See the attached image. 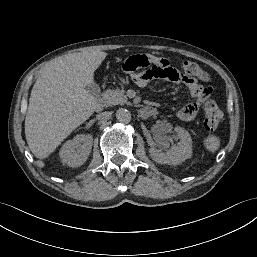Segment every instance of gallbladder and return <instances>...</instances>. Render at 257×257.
I'll use <instances>...</instances> for the list:
<instances>
[{"label": "gallbladder", "instance_id": "obj_1", "mask_svg": "<svg viewBox=\"0 0 257 257\" xmlns=\"http://www.w3.org/2000/svg\"><path fill=\"white\" fill-rule=\"evenodd\" d=\"M87 90L89 91V93L91 95H93L94 97H98L100 94V87L97 83L93 82L92 84L88 85Z\"/></svg>", "mask_w": 257, "mask_h": 257}]
</instances>
